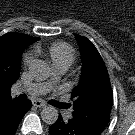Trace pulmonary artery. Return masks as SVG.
<instances>
[{
  "label": "pulmonary artery",
  "instance_id": "1",
  "mask_svg": "<svg viewBox=\"0 0 135 135\" xmlns=\"http://www.w3.org/2000/svg\"><path fill=\"white\" fill-rule=\"evenodd\" d=\"M65 71H66V68H63V67L55 68V74L57 77L63 75ZM48 87L49 86L46 84L31 83V84H27V85L15 88L13 90V93L16 95L20 93H27L31 96H38L45 93ZM68 117L69 118L71 117V113L68 114Z\"/></svg>",
  "mask_w": 135,
  "mask_h": 135
}]
</instances>
